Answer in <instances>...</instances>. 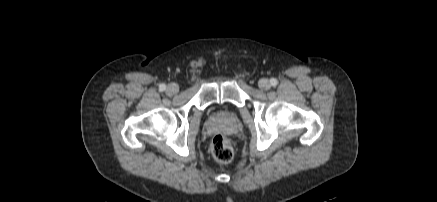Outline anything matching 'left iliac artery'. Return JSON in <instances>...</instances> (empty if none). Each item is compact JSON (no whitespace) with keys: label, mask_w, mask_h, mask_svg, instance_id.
I'll list each match as a JSON object with an SVG mask.
<instances>
[{"label":"left iliac artery","mask_w":437,"mask_h":202,"mask_svg":"<svg viewBox=\"0 0 437 202\" xmlns=\"http://www.w3.org/2000/svg\"><path fill=\"white\" fill-rule=\"evenodd\" d=\"M270 82H271V84H272L273 86H275V85L277 84V80H276L275 78H272V79L270 80Z\"/></svg>","instance_id":"1"}]
</instances>
